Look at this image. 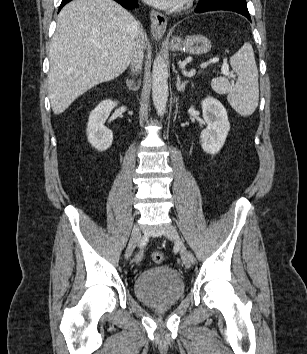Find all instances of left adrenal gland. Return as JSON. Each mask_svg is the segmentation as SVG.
I'll list each match as a JSON object with an SVG mask.
<instances>
[{
  "mask_svg": "<svg viewBox=\"0 0 307 354\" xmlns=\"http://www.w3.org/2000/svg\"><path fill=\"white\" fill-rule=\"evenodd\" d=\"M189 83L188 80L181 82L179 75H177V83H176V88L177 91L183 92L185 90V86Z\"/></svg>",
  "mask_w": 307,
  "mask_h": 354,
  "instance_id": "obj_1",
  "label": "left adrenal gland"
}]
</instances>
